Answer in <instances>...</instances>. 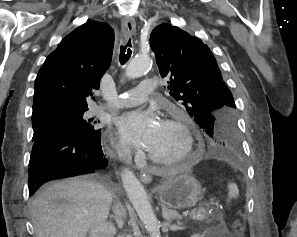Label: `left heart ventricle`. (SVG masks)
Returning <instances> with one entry per match:
<instances>
[{
  "mask_svg": "<svg viewBox=\"0 0 297 237\" xmlns=\"http://www.w3.org/2000/svg\"><path fill=\"white\" fill-rule=\"evenodd\" d=\"M183 146L184 140L181 132L162 122L158 135L148 151L158 158L167 159L179 155Z\"/></svg>",
  "mask_w": 297,
  "mask_h": 237,
  "instance_id": "b2bd125f",
  "label": "left heart ventricle"
}]
</instances>
